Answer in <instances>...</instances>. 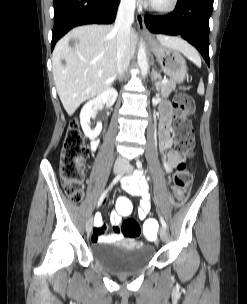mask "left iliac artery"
Segmentation results:
<instances>
[{
    "label": "left iliac artery",
    "mask_w": 247,
    "mask_h": 304,
    "mask_svg": "<svg viewBox=\"0 0 247 304\" xmlns=\"http://www.w3.org/2000/svg\"><path fill=\"white\" fill-rule=\"evenodd\" d=\"M136 164H137L138 168L142 167V164H141V162L139 160H137ZM160 222H161L162 226L166 229L167 228V224H166L165 220L163 219V217H161V216H160Z\"/></svg>",
    "instance_id": "44dca946"
}]
</instances>
